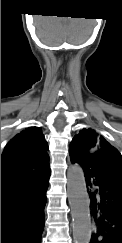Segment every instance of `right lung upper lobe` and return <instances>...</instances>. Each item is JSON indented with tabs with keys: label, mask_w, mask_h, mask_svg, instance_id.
I'll list each match as a JSON object with an SVG mask.
<instances>
[{
	"label": "right lung upper lobe",
	"mask_w": 122,
	"mask_h": 243,
	"mask_svg": "<svg viewBox=\"0 0 122 243\" xmlns=\"http://www.w3.org/2000/svg\"><path fill=\"white\" fill-rule=\"evenodd\" d=\"M47 149L39 127H29L12 138L1 155V189L49 171Z\"/></svg>",
	"instance_id": "right-lung-upper-lobe-1"
}]
</instances>
